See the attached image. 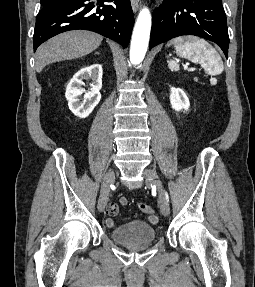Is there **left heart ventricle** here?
Listing matches in <instances>:
<instances>
[{
	"mask_svg": "<svg viewBox=\"0 0 255 287\" xmlns=\"http://www.w3.org/2000/svg\"><path fill=\"white\" fill-rule=\"evenodd\" d=\"M145 48H164V47H145Z\"/></svg>",
	"mask_w": 255,
	"mask_h": 287,
	"instance_id": "b2bd125f",
	"label": "left heart ventricle"
}]
</instances>
